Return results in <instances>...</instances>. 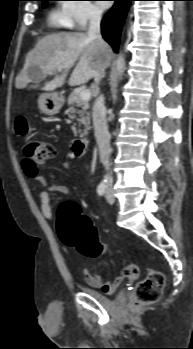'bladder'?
I'll return each mask as SVG.
<instances>
[{
  "label": "bladder",
  "instance_id": "1",
  "mask_svg": "<svg viewBox=\"0 0 193 349\" xmlns=\"http://www.w3.org/2000/svg\"><path fill=\"white\" fill-rule=\"evenodd\" d=\"M85 292L91 295L95 300H97L100 303L106 304L110 302L109 298L98 289L87 287L85 288ZM123 297L124 295L123 293H121L119 295V298H123Z\"/></svg>",
  "mask_w": 193,
  "mask_h": 349
}]
</instances>
